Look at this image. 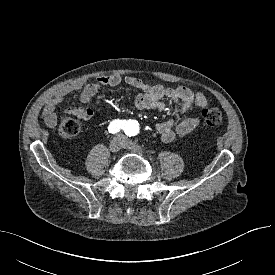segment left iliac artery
<instances>
[{
    "label": "left iliac artery",
    "instance_id": "1",
    "mask_svg": "<svg viewBox=\"0 0 275 275\" xmlns=\"http://www.w3.org/2000/svg\"><path fill=\"white\" fill-rule=\"evenodd\" d=\"M138 131L137 124L134 121H127L125 124V133L129 136H134L136 135Z\"/></svg>",
    "mask_w": 275,
    "mask_h": 275
}]
</instances>
